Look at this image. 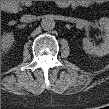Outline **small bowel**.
Masks as SVG:
<instances>
[{"label": "small bowel", "instance_id": "obj_1", "mask_svg": "<svg viewBox=\"0 0 109 109\" xmlns=\"http://www.w3.org/2000/svg\"><path fill=\"white\" fill-rule=\"evenodd\" d=\"M79 5H86L88 4V2H85V1H81V2H78Z\"/></svg>", "mask_w": 109, "mask_h": 109}]
</instances>
